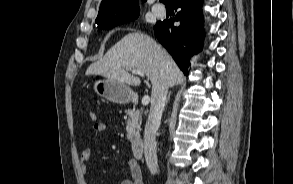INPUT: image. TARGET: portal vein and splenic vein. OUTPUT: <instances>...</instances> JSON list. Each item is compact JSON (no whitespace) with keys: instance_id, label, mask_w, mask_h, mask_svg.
Wrapping results in <instances>:
<instances>
[{"instance_id":"obj_1","label":"portal vein and splenic vein","mask_w":293,"mask_h":184,"mask_svg":"<svg viewBox=\"0 0 293 184\" xmlns=\"http://www.w3.org/2000/svg\"><path fill=\"white\" fill-rule=\"evenodd\" d=\"M131 72L133 74H138L139 76L141 77H144L145 74L143 72H141L140 70H135V69H132ZM149 101H150V97L148 95H145L143 98H142V105L146 106L149 104Z\"/></svg>"}]
</instances>
